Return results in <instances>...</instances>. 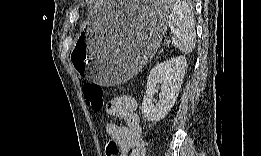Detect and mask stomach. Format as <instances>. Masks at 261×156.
<instances>
[{"label":"stomach","mask_w":261,"mask_h":156,"mask_svg":"<svg viewBox=\"0 0 261 156\" xmlns=\"http://www.w3.org/2000/svg\"><path fill=\"white\" fill-rule=\"evenodd\" d=\"M170 12L167 2L101 3L79 34L71 57L74 66L102 86L129 80L155 55Z\"/></svg>","instance_id":"1"}]
</instances>
